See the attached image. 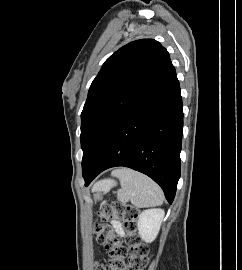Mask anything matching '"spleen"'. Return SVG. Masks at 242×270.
<instances>
[{
	"label": "spleen",
	"instance_id": "3e777b00",
	"mask_svg": "<svg viewBox=\"0 0 242 270\" xmlns=\"http://www.w3.org/2000/svg\"><path fill=\"white\" fill-rule=\"evenodd\" d=\"M115 176L120 180L121 189L117 199L130 201L136 207L159 206L164 201L162 189L149 177L131 169H120ZM110 183L106 182L105 184Z\"/></svg>",
	"mask_w": 242,
	"mask_h": 270
}]
</instances>
